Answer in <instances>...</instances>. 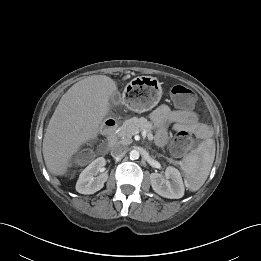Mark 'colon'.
Wrapping results in <instances>:
<instances>
[{"label": "colon", "instance_id": "colon-1", "mask_svg": "<svg viewBox=\"0 0 261 261\" xmlns=\"http://www.w3.org/2000/svg\"><path fill=\"white\" fill-rule=\"evenodd\" d=\"M174 102L183 108H189L194 104L193 92L182 85L173 86L170 90ZM193 146V139L190 136V132L181 131L173 139L171 149L173 153L181 155L184 154ZM90 158V152L88 150H81L77 154V159L80 161H87Z\"/></svg>", "mask_w": 261, "mask_h": 261}]
</instances>
